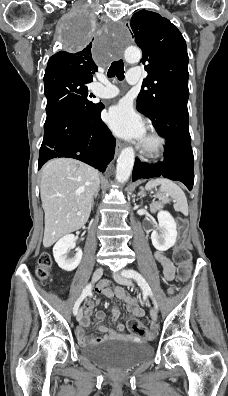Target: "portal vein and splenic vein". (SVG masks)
I'll list each match as a JSON object with an SVG mask.
<instances>
[{
  "instance_id": "obj_1",
  "label": "portal vein and splenic vein",
  "mask_w": 228,
  "mask_h": 396,
  "mask_svg": "<svg viewBox=\"0 0 228 396\" xmlns=\"http://www.w3.org/2000/svg\"><path fill=\"white\" fill-rule=\"evenodd\" d=\"M77 215L80 216V215H81V212H77Z\"/></svg>"
}]
</instances>
